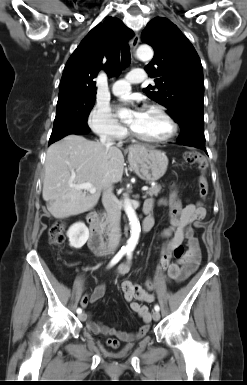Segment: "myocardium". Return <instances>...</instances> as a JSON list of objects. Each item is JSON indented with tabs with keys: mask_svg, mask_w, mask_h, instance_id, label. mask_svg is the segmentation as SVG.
<instances>
[{
	"mask_svg": "<svg viewBox=\"0 0 247 385\" xmlns=\"http://www.w3.org/2000/svg\"><path fill=\"white\" fill-rule=\"evenodd\" d=\"M144 109L156 111L161 116H163L164 119L168 122V124L170 126V131L166 136H164L162 138H148V137L140 135L132 127H130V132L134 138H136L142 142L149 143V144H162V143L169 142L170 140H172L176 136L177 131H178V125H177L176 121L174 120V118L167 112V110L163 106H161L159 104H149V105H146L144 107Z\"/></svg>",
	"mask_w": 247,
	"mask_h": 385,
	"instance_id": "myocardium-1",
	"label": "myocardium"
}]
</instances>
